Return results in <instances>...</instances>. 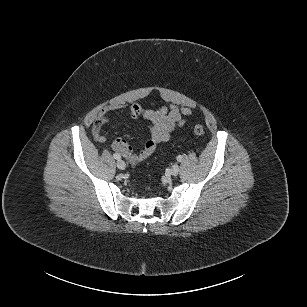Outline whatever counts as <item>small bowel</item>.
Here are the masks:
<instances>
[{
  "label": "small bowel",
  "mask_w": 307,
  "mask_h": 307,
  "mask_svg": "<svg viewBox=\"0 0 307 307\" xmlns=\"http://www.w3.org/2000/svg\"><path fill=\"white\" fill-rule=\"evenodd\" d=\"M114 113L125 114L131 118L143 117L149 122L150 137L140 151L134 152L125 141H123L124 148L116 150L129 163L138 164L147 159L160 143L167 141L175 129L185 125L191 115V110L174 105L164 106L158 110L143 109L139 104H133L129 108L125 105L106 106L99 111L92 127L93 137L96 141L101 143L106 141L102 129L108 117Z\"/></svg>",
  "instance_id": "obj_1"
}]
</instances>
